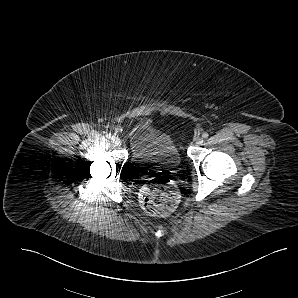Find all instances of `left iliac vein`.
Listing matches in <instances>:
<instances>
[{"mask_svg":"<svg viewBox=\"0 0 298 298\" xmlns=\"http://www.w3.org/2000/svg\"><path fill=\"white\" fill-rule=\"evenodd\" d=\"M203 142H204V140H203V138H196V140H195V144L196 145H201V144H203Z\"/></svg>","mask_w":298,"mask_h":298,"instance_id":"left-iliac-vein-1","label":"left iliac vein"}]
</instances>
